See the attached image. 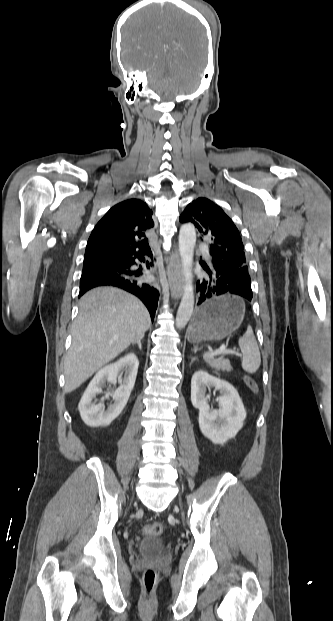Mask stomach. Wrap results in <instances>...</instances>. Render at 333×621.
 I'll return each mask as SVG.
<instances>
[{
    "mask_svg": "<svg viewBox=\"0 0 333 621\" xmlns=\"http://www.w3.org/2000/svg\"><path fill=\"white\" fill-rule=\"evenodd\" d=\"M244 318V304L236 296L208 300L197 310L188 329L191 343L219 341L235 331Z\"/></svg>",
    "mask_w": 333,
    "mask_h": 621,
    "instance_id": "0dacf381",
    "label": "stomach"
}]
</instances>
